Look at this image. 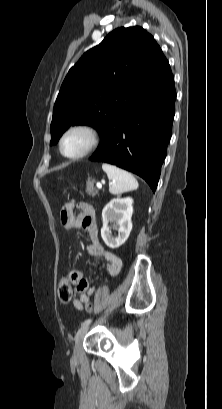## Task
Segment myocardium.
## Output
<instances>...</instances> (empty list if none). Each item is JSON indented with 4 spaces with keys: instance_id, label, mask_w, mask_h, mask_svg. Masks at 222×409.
<instances>
[{
    "instance_id": "1",
    "label": "myocardium",
    "mask_w": 222,
    "mask_h": 409,
    "mask_svg": "<svg viewBox=\"0 0 222 409\" xmlns=\"http://www.w3.org/2000/svg\"><path fill=\"white\" fill-rule=\"evenodd\" d=\"M75 131H83L85 133H87V135L89 136V142L88 145L86 146V148L81 151L78 154H74V155H68L64 152L63 150V143L65 138L72 132ZM101 141V135L99 130L91 125V124H87V123H80V124H74L70 127H68L63 134L61 135L60 139H59V151L61 153L62 156H64L67 159H71V160H76V159H80L83 157H86L87 155H89L91 152H93L98 145L100 144Z\"/></svg>"
}]
</instances>
